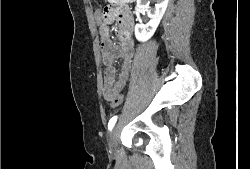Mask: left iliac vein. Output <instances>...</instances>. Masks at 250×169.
Listing matches in <instances>:
<instances>
[{"mask_svg":"<svg viewBox=\"0 0 250 169\" xmlns=\"http://www.w3.org/2000/svg\"><path fill=\"white\" fill-rule=\"evenodd\" d=\"M119 126L116 125L115 128L110 133V139H109V149L115 150L117 147L118 139H119Z\"/></svg>","mask_w":250,"mask_h":169,"instance_id":"obj_1","label":"left iliac vein"}]
</instances>
